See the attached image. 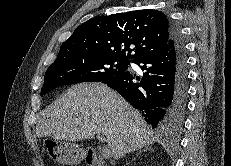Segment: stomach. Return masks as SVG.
<instances>
[{"label":"stomach","instance_id":"obj_1","mask_svg":"<svg viewBox=\"0 0 231 166\" xmlns=\"http://www.w3.org/2000/svg\"><path fill=\"white\" fill-rule=\"evenodd\" d=\"M46 148L51 159L61 164L75 165L85 157V151L78 144L70 141L51 140Z\"/></svg>","mask_w":231,"mask_h":166}]
</instances>
